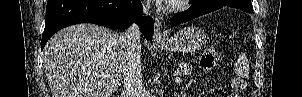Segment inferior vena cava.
Segmentation results:
<instances>
[{
	"instance_id": "602c4592",
	"label": "inferior vena cava",
	"mask_w": 302,
	"mask_h": 97,
	"mask_svg": "<svg viewBox=\"0 0 302 97\" xmlns=\"http://www.w3.org/2000/svg\"><path fill=\"white\" fill-rule=\"evenodd\" d=\"M145 9L150 8V3H145ZM126 47V63L123 68L125 97H144L140 60V31L136 24H132L121 34Z\"/></svg>"
}]
</instances>
